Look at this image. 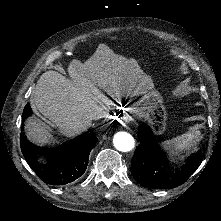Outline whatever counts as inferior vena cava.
Returning a JSON list of instances; mask_svg holds the SVG:
<instances>
[{"mask_svg": "<svg viewBox=\"0 0 221 221\" xmlns=\"http://www.w3.org/2000/svg\"><path fill=\"white\" fill-rule=\"evenodd\" d=\"M108 114H109V108L104 105H101V106H98L96 110L91 114L90 119L91 121L99 120L101 118L108 116Z\"/></svg>", "mask_w": 221, "mask_h": 221, "instance_id": "602c4592", "label": "inferior vena cava"}]
</instances>
